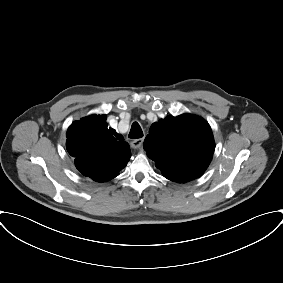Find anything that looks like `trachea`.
I'll use <instances>...</instances> for the list:
<instances>
[{"mask_svg": "<svg viewBox=\"0 0 283 283\" xmlns=\"http://www.w3.org/2000/svg\"><path fill=\"white\" fill-rule=\"evenodd\" d=\"M129 138L131 139H138L143 137V132L140 125L137 122H134L131 126V130L129 133Z\"/></svg>", "mask_w": 283, "mask_h": 283, "instance_id": "trachea-1", "label": "trachea"}]
</instances>
